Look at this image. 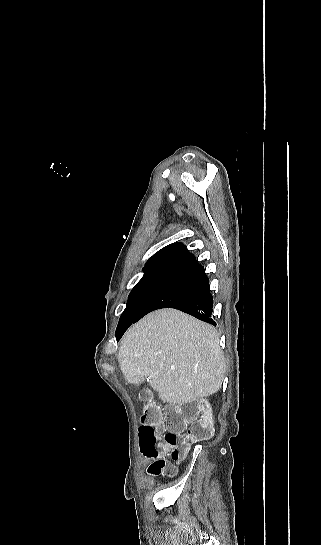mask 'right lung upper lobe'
I'll use <instances>...</instances> for the list:
<instances>
[{"mask_svg":"<svg viewBox=\"0 0 321 545\" xmlns=\"http://www.w3.org/2000/svg\"><path fill=\"white\" fill-rule=\"evenodd\" d=\"M195 259L186 246L182 243H172L154 254L145 264L148 268H171L179 269Z\"/></svg>","mask_w":321,"mask_h":545,"instance_id":"1","label":"right lung upper lobe"}]
</instances>
